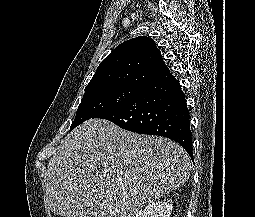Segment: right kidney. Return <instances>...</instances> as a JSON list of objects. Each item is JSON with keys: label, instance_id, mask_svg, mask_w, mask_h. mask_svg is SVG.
I'll return each mask as SVG.
<instances>
[{"label": "right kidney", "instance_id": "ca27d5eb", "mask_svg": "<svg viewBox=\"0 0 255 217\" xmlns=\"http://www.w3.org/2000/svg\"><path fill=\"white\" fill-rule=\"evenodd\" d=\"M173 205L169 202H152L133 217H170Z\"/></svg>", "mask_w": 255, "mask_h": 217}]
</instances>
